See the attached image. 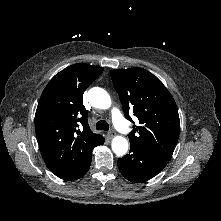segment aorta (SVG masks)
<instances>
[{"mask_svg": "<svg viewBox=\"0 0 221 221\" xmlns=\"http://www.w3.org/2000/svg\"><path fill=\"white\" fill-rule=\"evenodd\" d=\"M92 106L100 109H108L111 106L109 94L102 88L94 87L88 92ZM112 150L117 156H122L128 151V142L123 136H116L112 140Z\"/></svg>", "mask_w": 221, "mask_h": 221, "instance_id": "aorta-1", "label": "aorta"}]
</instances>
